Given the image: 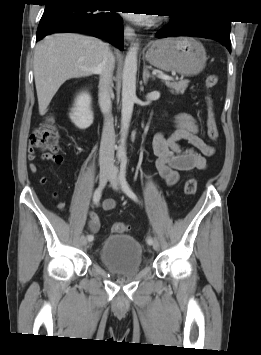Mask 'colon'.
<instances>
[{
    "mask_svg": "<svg viewBox=\"0 0 261 355\" xmlns=\"http://www.w3.org/2000/svg\"><path fill=\"white\" fill-rule=\"evenodd\" d=\"M216 75H209L205 80V87L210 89L217 84ZM206 128L207 135L211 141L218 138V129L215 120V111L212 98L207 97L206 109ZM61 143V136L51 121L42 122L31 134L30 144L33 148L43 151L44 156L54 155L58 152ZM197 190V180L194 177H188L184 184V191L187 195L195 194ZM129 230V226L122 222H116L111 225L110 231L114 234H122Z\"/></svg>",
    "mask_w": 261,
    "mask_h": 355,
    "instance_id": "1",
    "label": "colon"
}]
</instances>
